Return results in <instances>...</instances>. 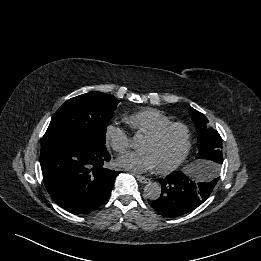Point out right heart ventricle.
<instances>
[{
    "instance_id": "e07e8e85",
    "label": "right heart ventricle",
    "mask_w": 261,
    "mask_h": 261,
    "mask_svg": "<svg viewBox=\"0 0 261 261\" xmlns=\"http://www.w3.org/2000/svg\"><path fill=\"white\" fill-rule=\"evenodd\" d=\"M126 120L134 132L143 135H148L171 122V119L165 113L154 108L135 112L129 115Z\"/></svg>"
}]
</instances>
